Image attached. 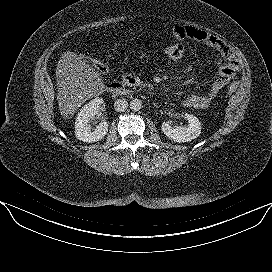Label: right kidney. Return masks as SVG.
<instances>
[{"instance_id": "right-kidney-1", "label": "right kidney", "mask_w": 272, "mask_h": 272, "mask_svg": "<svg viewBox=\"0 0 272 272\" xmlns=\"http://www.w3.org/2000/svg\"><path fill=\"white\" fill-rule=\"evenodd\" d=\"M103 103V98L96 97L80 109L75 122V136L78 140L92 143L102 140L107 134L109 126L107 122L99 123L93 131L90 125V121L98 115Z\"/></svg>"}]
</instances>
